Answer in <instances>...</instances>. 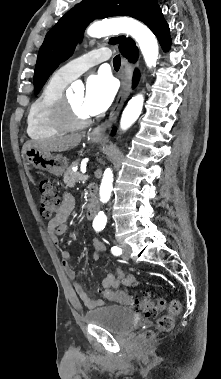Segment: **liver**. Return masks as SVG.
Instances as JSON below:
<instances>
[{
    "mask_svg": "<svg viewBox=\"0 0 221 379\" xmlns=\"http://www.w3.org/2000/svg\"><path fill=\"white\" fill-rule=\"evenodd\" d=\"M82 139L81 134H71L60 137H53L47 140L27 141L22 147V154L25 155L26 150L35 148L44 152H63L78 146Z\"/></svg>",
    "mask_w": 221,
    "mask_h": 379,
    "instance_id": "liver-1",
    "label": "liver"
}]
</instances>
